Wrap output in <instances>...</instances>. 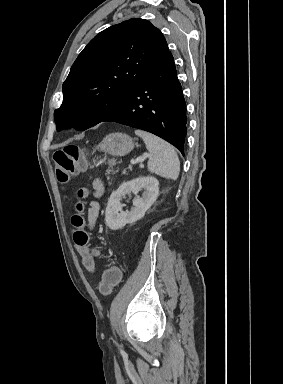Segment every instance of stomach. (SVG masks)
Here are the masks:
<instances>
[{
	"label": "stomach",
	"mask_w": 283,
	"mask_h": 384,
	"mask_svg": "<svg viewBox=\"0 0 283 384\" xmlns=\"http://www.w3.org/2000/svg\"><path fill=\"white\" fill-rule=\"evenodd\" d=\"M135 144L133 140L126 136V134H109L101 144L97 146V150L101 152H107L111 156H126L131 150H133Z\"/></svg>",
	"instance_id": "0dacf381"
}]
</instances>
